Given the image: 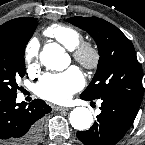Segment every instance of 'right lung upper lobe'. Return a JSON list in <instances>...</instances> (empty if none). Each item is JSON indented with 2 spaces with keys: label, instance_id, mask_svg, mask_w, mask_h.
Here are the masks:
<instances>
[{
  "label": "right lung upper lobe",
  "instance_id": "cb5924a9",
  "mask_svg": "<svg viewBox=\"0 0 145 145\" xmlns=\"http://www.w3.org/2000/svg\"><path fill=\"white\" fill-rule=\"evenodd\" d=\"M35 18H16L10 20L0 26V38H10L16 36L26 29H28L32 23L35 21Z\"/></svg>",
  "mask_w": 145,
  "mask_h": 145
}]
</instances>
